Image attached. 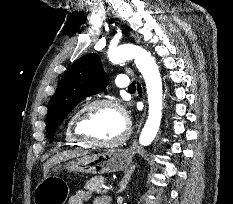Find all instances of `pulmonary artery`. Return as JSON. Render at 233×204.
Returning a JSON list of instances; mask_svg holds the SVG:
<instances>
[{"label": "pulmonary artery", "instance_id": "pulmonary-artery-1", "mask_svg": "<svg viewBox=\"0 0 233 204\" xmlns=\"http://www.w3.org/2000/svg\"><path fill=\"white\" fill-rule=\"evenodd\" d=\"M116 85L120 88H127L130 85V79L127 75L121 74L116 78Z\"/></svg>", "mask_w": 233, "mask_h": 204}]
</instances>
